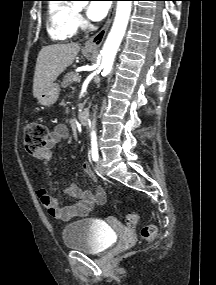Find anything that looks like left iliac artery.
<instances>
[{"mask_svg": "<svg viewBox=\"0 0 216 285\" xmlns=\"http://www.w3.org/2000/svg\"><path fill=\"white\" fill-rule=\"evenodd\" d=\"M91 155L94 161H98L99 154H98V147H97V137L95 134H92V137H91Z\"/></svg>", "mask_w": 216, "mask_h": 285, "instance_id": "obj_1", "label": "left iliac artery"}]
</instances>
